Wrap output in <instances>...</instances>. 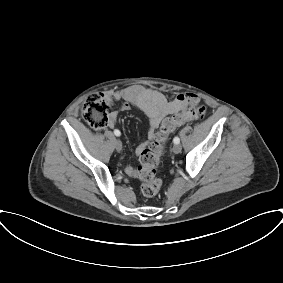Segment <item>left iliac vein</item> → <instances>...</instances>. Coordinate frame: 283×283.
Wrapping results in <instances>:
<instances>
[{
  "mask_svg": "<svg viewBox=\"0 0 283 283\" xmlns=\"http://www.w3.org/2000/svg\"><path fill=\"white\" fill-rule=\"evenodd\" d=\"M181 150H182V146H181L180 144H175V145L173 146V152H174L175 154L180 153Z\"/></svg>",
  "mask_w": 283,
  "mask_h": 283,
  "instance_id": "1",
  "label": "left iliac vein"
}]
</instances>
